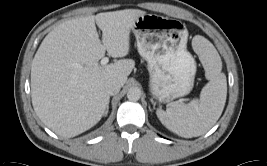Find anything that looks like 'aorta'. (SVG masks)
Masks as SVG:
<instances>
[{"label":"aorta","instance_id":"aorta-1","mask_svg":"<svg viewBox=\"0 0 267 166\" xmlns=\"http://www.w3.org/2000/svg\"><path fill=\"white\" fill-rule=\"evenodd\" d=\"M141 97V90L137 87H131L127 92V98L130 101H138Z\"/></svg>","mask_w":267,"mask_h":166}]
</instances>
